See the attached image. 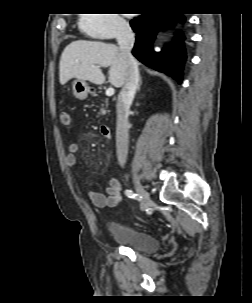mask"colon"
<instances>
[{
	"instance_id": "5ec220e1",
	"label": "colon",
	"mask_w": 252,
	"mask_h": 303,
	"mask_svg": "<svg viewBox=\"0 0 252 303\" xmlns=\"http://www.w3.org/2000/svg\"><path fill=\"white\" fill-rule=\"evenodd\" d=\"M61 124L64 126H69L71 124V116L69 112L63 111L60 114Z\"/></svg>"
}]
</instances>
